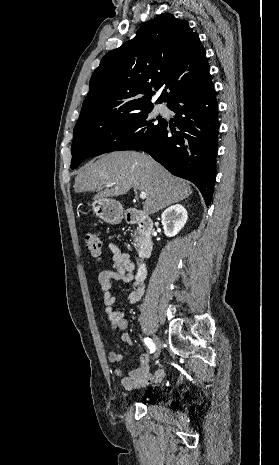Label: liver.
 <instances>
[{"label": "liver", "instance_id": "1", "mask_svg": "<svg viewBox=\"0 0 279 465\" xmlns=\"http://www.w3.org/2000/svg\"><path fill=\"white\" fill-rule=\"evenodd\" d=\"M112 183L111 187L107 184ZM131 188L146 193L143 211L154 214L192 194L188 182L171 175L149 155L136 151L104 154L84 165L75 178L76 193L96 191L95 199L117 197Z\"/></svg>", "mask_w": 279, "mask_h": 465}]
</instances>
